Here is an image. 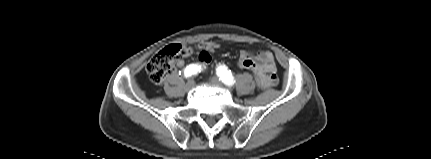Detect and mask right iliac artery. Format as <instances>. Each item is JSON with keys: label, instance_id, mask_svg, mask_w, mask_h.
<instances>
[{"label": "right iliac artery", "instance_id": "82829eb1", "mask_svg": "<svg viewBox=\"0 0 431 159\" xmlns=\"http://www.w3.org/2000/svg\"><path fill=\"white\" fill-rule=\"evenodd\" d=\"M201 66L197 64H190L188 65L184 70V76L186 78H189L193 75H196L198 72H200Z\"/></svg>", "mask_w": 431, "mask_h": 159}]
</instances>
